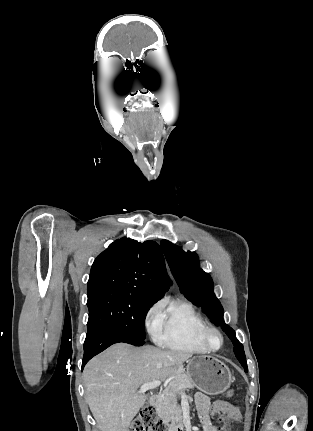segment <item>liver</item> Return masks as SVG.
Masks as SVG:
<instances>
[{
  "instance_id": "obj_1",
  "label": "liver",
  "mask_w": 313,
  "mask_h": 431,
  "mask_svg": "<svg viewBox=\"0 0 313 431\" xmlns=\"http://www.w3.org/2000/svg\"><path fill=\"white\" fill-rule=\"evenodd\" d=\"M191 356L117 343L90 360L84 369L86 401L100 431H128L147 398L138 388L183 373Z\"/></svg>"
}]
</instances>
